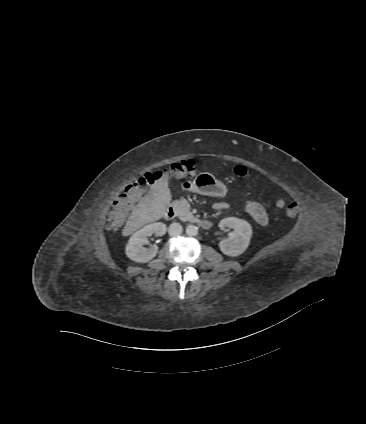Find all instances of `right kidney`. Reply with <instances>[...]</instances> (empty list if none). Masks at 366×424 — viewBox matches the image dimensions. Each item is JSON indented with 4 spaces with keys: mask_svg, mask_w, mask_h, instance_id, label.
Wrapping results in <instances>:
<instances>
[{
    "mask_svg": "<svg viewBox=\"0 0 366 424\" xmlns=\"http://www.w3.org/2000/svg\"><path fill=\"white\" fill-rule=\"evenodd\" d=\"M166 225L161 222L151 223L135 232L129 239L125 247V253L128 258L138 263H146L152 260L157 252L158 246L152 245L150 249L144 248L148 244L147 237L155 234L162 236L166 233Z\"/></svg>",
    "mask_w": 366,
    "mask_h": 424,
    "instance_id": "obj_1",
    "label": "right kidney"
}]
</instances>
